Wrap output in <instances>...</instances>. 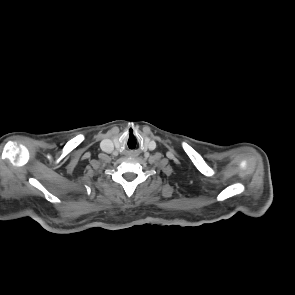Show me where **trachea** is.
I'll use <instances>...</instances> for the list:
<instances>
[{
	"instance_id": "3493384b",
	"label": "trachea",
	"mask_w": 295,
	"mask_h": 295,
	"mask_svg": "<svg viewBox=\"0 0 295 295\" xmlns=\"http://www.w3.org/2000/svg\"><path fill=\"white\" fill-rule=\"evenodd\" d=\"M128 144H129V142H128ZM135 145H136V142H135ZM135 145H134V147H135ZM134 147H133V148H134ZM131 149H132V148H131Z\"/></svg>"
}]
</instances>
